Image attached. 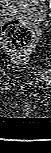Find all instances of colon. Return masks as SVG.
Listing matches in <instances>:
<instances>
[{
	"mask_svg": "<svg viewBox=\"0 0 51 153\" xmlns=\"http://www.w3.org/2000/svg\"><path fill=\"white\" fill-rule=\"evenodd\" d=\"M2 38L6 48L15 56L26 54L35 42L33 30L19 20H11L4 25Z\"/></svg>",
	"mask_w": 51,
	"mask_h": 153,
	"instance_id": "5ec220e1",
	"label": "colon"
}]
</instances>
